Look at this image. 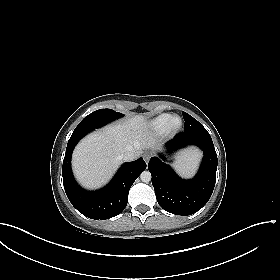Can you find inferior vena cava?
Listing matches in <instances>:
<instances>
[{
  "instance_id": "inferior-vena-cava-1",
  "label": "inferior vena cava",
  "mask_w": 280,
  "mask_h": 280,
  "mask_svg": "<svg viewBox=\"0 0 280 280\" xmlns=\"http://www.w3.org/2000/svg\"><path fill=\"white\" fill-rule=\"evenodd\" d=\"M136 158V155L133 152H125L122 154L121 159L124 161H133Z\"/></svg>"
}]
</instances>
